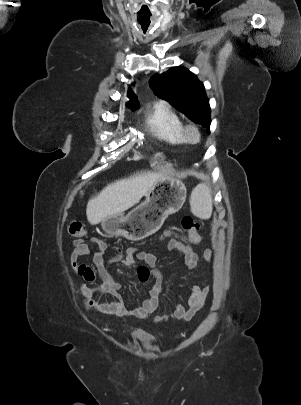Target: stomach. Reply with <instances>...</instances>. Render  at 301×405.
<instances>
[{
	"label": "stomach",
	"mask_w": 301,
	"mask_h": 405,
	"mask_svg": "<svg viewBox=\"0 0 301 405\" xmlns=\"http://www.w3.org/2000/svg\"><path fill=\"white\" fill-rule=\"evenodd\" d=\"M185 184L171 177L157 181L146 195V200L127 215L118 214L102 222L106 232L131 241L142 240L155 233L165 219L178 212L186 200Z\"/></svg>",
	"instance_id": "stomach-1"
}]
</instances>
